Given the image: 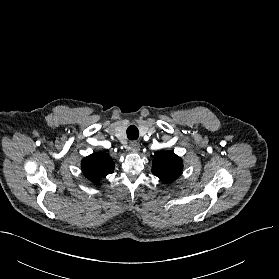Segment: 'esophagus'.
I'll use <instances>...</instances> for the list:
<instances>
[{"label": "esophagus", "instance_id": "obj_1", "mask_svg": "<svg viewBox=\"0 0 279 279\" xmlns=\"http://www.w3.org/2000/svg\"><path fill=\"white\" fill-rule=\"evenodd\" d=\"M130 149L134 152L139 151V149H140L139 143L137 141H131L130 142Z\"/></svg>", "mask_w": 279, "mask_h": 279}]
</instances>
